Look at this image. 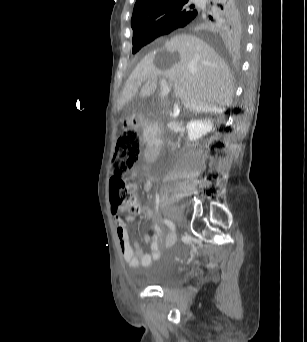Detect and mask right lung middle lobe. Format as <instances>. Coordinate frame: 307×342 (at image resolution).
I'll list each match as a JSON object with an SVG mask.
<instances>
[{
    "label": "right lung middle lobe",
    "instance_id": "1",
    "mask_svg": "<svg viewBox=\"0 0 307 342\" xmlns=\"http://www.w3.org/2000/svg\"><path fill=\"white\" fill-rule=\"evenodd\" d=\"M169 31H155V32H144L140 34L133 35V49L132 53L138 52L144 45L150 43L155 38L168 34Z\"/></svg>",
    "mask_w": 307,
    "mask_h": 342
}]
</instances>
